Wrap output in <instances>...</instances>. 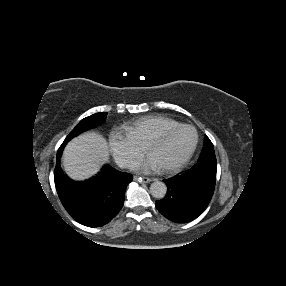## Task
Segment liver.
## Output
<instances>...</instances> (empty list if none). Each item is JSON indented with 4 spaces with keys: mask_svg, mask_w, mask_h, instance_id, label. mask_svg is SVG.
<instances>
[{
    "mask_svg": "<svg viewBox=\"0 0 286 286\" xmlns=\"http://www.w3.org/2000/svg\"><path fill=\"white\" fill-rule=\"evenodd\" d=\"M108 159L106 140L95 132L72 139L63 153V167L73 179L82 180L95 174Z\"/></svg>",
    "mask_w": 286,
    "mask_h": 286,
    "instance_id": "1",
    "label": "liver"
}]
</instances>
